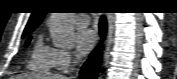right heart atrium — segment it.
<instances>
[{"mask_svg":"<svg viewBox=\"0 0 177 79\" xmlns=\"http://www.w3.org/2000/svg\"><path fill=\"white\" fill-rule=\"evenodd\" d=\"M74 62L75 60L70 51L55 48L54 63L56 68L65 71L68 70L74 64Z\"/></svg>","mask_w":177,"mask_h":79,"instance_id":"d8ad5b80","label":"right heart atrium"}]
</instances>
